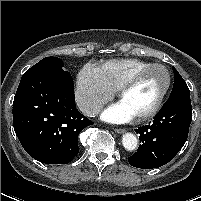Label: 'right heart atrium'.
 Segmentation results:
<instances>
[{"label": "right heart atrium", "mask_w": 201, "mask_h": 201, "mask_svg": "<svg viewBox=\"0 0 201 201\" xmlns=\"http://www.w3.org/2000/svg\"><path fill=\"white\" fill-rule=\"evenodd\" d=\"M114 96L97 67L84 66L78 74L75 97L80 110L94 116Z\"/></svg>", "instance_id": "1"}]
</instances>
